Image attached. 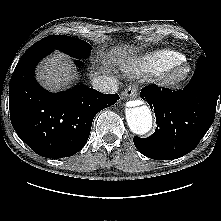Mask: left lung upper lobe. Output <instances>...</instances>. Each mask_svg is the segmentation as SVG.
Instances as JSON below:
<instances>
[{"label":"left lung upper lobe","instance_id":"obj_1","mask_svg":"<svg viewBox=\"0 0 221 221\" xmlns=\"http://www.w3.org/2000/svg\"><path fill=\"white\" fill-rule=\"evenodd\" d=\"M197 68H212L206 57H200L197 62Z\"/></svg>","mask_w":221,"mask_h":221}]
</instances>
